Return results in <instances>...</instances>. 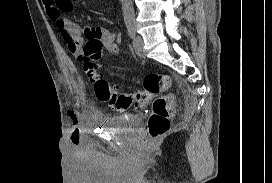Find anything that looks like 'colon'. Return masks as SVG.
<instances>
[{"label": "colon", "instance_id": "colon-1", "mask_svg": "<svg viewBox=\"0 0 272 183\" xmlns=\"http://www.w3.org/2000/svg\"><path fill=\"white\" fill-rule=\"evenodd\" d=\"M103 48V45L98 41H88L80 56L84 70L94 84L97 98L119 111H125L129 108L141 109L151 98L156 97L148 121V130L153 139L163 136L169 130L174 115V96L172 94L159 95L170 89L171 78L166 74L150 72L140 80L143 88L141 91L133 94L119 93L100 71Z\"/></svg>", "mask_w": 272, "mask_h": 183}]
</instances>
